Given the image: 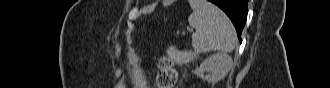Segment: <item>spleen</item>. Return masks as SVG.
<instances>
[{
	"label": "spleen",
	"mask_w": 330,
	"mask_h": 88,
	"mask_svg": "<svg viewBox=\"0 0 330 88\" xmlns=\"http://www.w3.org/2000/svg\"><path fill=\"white\" fill-rule=\"evenodd\" d=\"M193 10L188 22L195 29L192 34L194 51L167 49L169 58L178 65L191 62L198 54L209 51L231 52L236 45V31L227 15L207 0H189Z\"/></svg>",
	"instance_id": "spleen-1"
}]
</instances>
